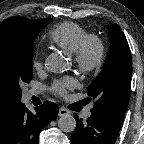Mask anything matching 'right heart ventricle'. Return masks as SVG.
Masks as SVG:
<instances>
[{
	"instance_id": "right-heart-ventricle-1",
	"label": "right heart ventricle",
	"mask_w": 144,
	"mask_h": 144,
	"mask_svg": "<svg viewBox=\"0 0 144 144\" xmlns=\"http://www.w3.org/2000/svg\"><path fill=\"white\" fill-rule=\"evenodd\" d=\"M86 35L88 32L81 25L75 22H63L50 29L48 39L55 46L73 53Z\"/></svg>"
}]
</instances>
